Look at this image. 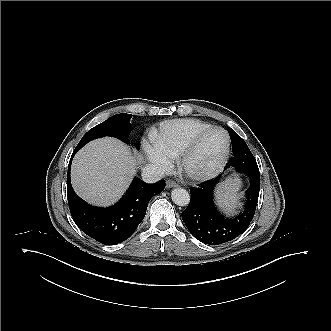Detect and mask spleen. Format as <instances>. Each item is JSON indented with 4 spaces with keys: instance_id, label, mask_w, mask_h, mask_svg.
I'll use <instances>...</instances> for the list:
<instances>
[{
    "instance_id": "obj_1",
    "label": "spleen",
    "mask_w": 331,
    "mask_h": 331,
    "mask_svg": "<svg viewBox=\"0 0 331 331\" xmlns=\"http://www.w3.org/2000/svg\"><path fill=\"white\" fill-rule=\"evenodd\" d=\"M242 181L238 176L227 178L217 188V205L227 214L235 212L240 206V190Z\"/></svg>"
}]
</instances>
